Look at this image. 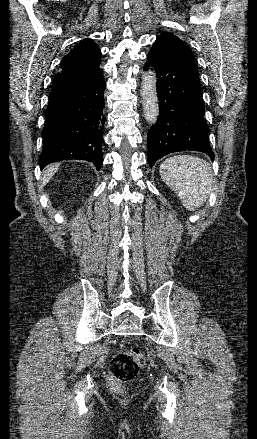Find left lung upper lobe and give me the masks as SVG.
<instances>
[{
  "mask_svg": "<svg viewBox=\"0 0 257 439\" xmlns=\"http://www.w3.org/2000/svg\"><path fill=\"white\" fill-rule=\"evenodd\" d=\"M157 40L167 41L170 44H172L173 46H176L177 48H179L185 54V56H187V58L192 62V64L197 69L196 64H195L194 54L191 51V49L189 48V46L184 41L180 40L177 36H175L171 33H167V32H163L159 36H157ZM197 71H198V69H197Z\"/></svg>",
  "mask_w": 257,
  "mask_h": 439,
  "instance_id": "1",
  "label": "left lung upper lobe"
}]
</instances>
